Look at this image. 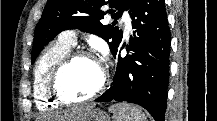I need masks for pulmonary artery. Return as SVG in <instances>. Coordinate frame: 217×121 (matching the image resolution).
Segmentation results:
<instances>
[{
	"label": "pulmonary artery",
	"mask_w": 217,
	"mask_h": 121,
	"mask_svg": "<svg viewBox=\"0 0 217 121\" xmlns=\"http://www.w3.org/2000/svg\"><path fill=\"white\" fill-rule=\"evenodd\" d=\"M122 21L125 25V32L127 34L132 32V22L131 17L128 13H124L122 16ZM64 42L74 45L76 43L77 39V32L75 30H67L64 33H62L60 37Z\"/></svg>",
	"instance_id": "pulmonary-artery-1"
}]
</instances>
